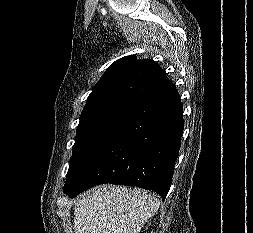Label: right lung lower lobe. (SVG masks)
<instances>
[{
    "instance_id": "98d812e1",
    "label": "right lung lower lobe",
    "mask_w": 253,
    "mask_h": 233,
    "mask_svg": "<svg viewBox=\"0 0 253 233\" xmlns=\"http://www.w3.org/2000/svg\"><path fill=\"white\" fill-rule=\"evenodd\" d=\"M183 106L171 81L137 100L67 177L64 193L76 197L98 184L136 186L164 200L183 132Z\"/></svg>"
}]
</instances>
